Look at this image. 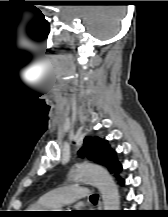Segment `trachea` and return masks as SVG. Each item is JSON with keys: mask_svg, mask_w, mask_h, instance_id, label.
<instances>
[{"mask_svg": "<svg viewBox=\"0 0 168 217\" xmlns=\"http://www.w3.org/2000/svg\"><path fill=\"white\" fill-rule=\"evenodd\" d=\"M90 200L93 201V202H94V201H97V200H98V195H97V194L91 195V196H90Z\"/></svg>", "mask_w": 168, "mask_h": 217, "instance_id": "3493384b", "label": "trachea"}]
</instances>
